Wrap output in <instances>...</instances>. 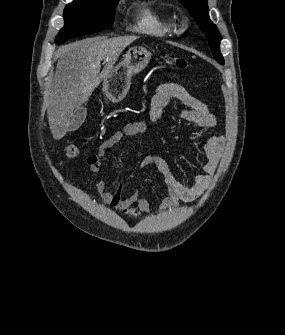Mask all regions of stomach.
I'll use <instances>...</instances> for the list:
<instances>
[{"mask_svg":"<svg viewBox=\"0 0 285 335\" xmlns=\"http://www.w3.org/2000/svg\"><path fill=\"white\" fill-rule=\"evenodd\" d=\"M151 54L146 48H130L122 62L112 68L103 82V92L110 102H120L125 98L131 86L132 76L146 68Z\"/></svg>","mask_w":285,"mask_h":335,"instance_id":"stomach-1","label":"stomach"}]
</instances>
